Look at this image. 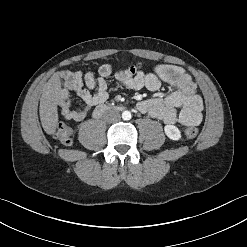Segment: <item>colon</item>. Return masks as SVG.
<instances>
[{"label":"colon","instance_id":"colon-1","mask_svg":"<svg viewBox=\"0 0 247 247\" xmlns=\"http://www.w3.org/2000/svg\"><path fill=\"white\" fill-rule=\"evenodd\" d=\"M140 68L141 64H136L125 70L128 74L134 75L139 72ZM197 135L198 129L195 126H191L185 130V136L187 138H195ZM55 136L63 144H70L72 142V129L68 125L60 123L56 128Z\"/></svg>","mask_w":247,"mask_h":247}]
</instances>
